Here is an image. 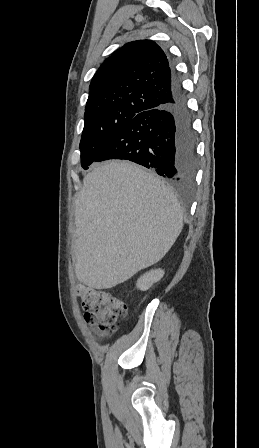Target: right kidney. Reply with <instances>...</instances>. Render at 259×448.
Wrapping results in <instances>:
<instances>
[{"mask_svg":"<svg viewBox=\"0 0 259 448\" xmlns=\"http://www.w3.org/2000/svg\"><path fill=\"white\" fill-rule=\"evenodd\" d=\"M163 276L164 270H151V272H147V274H144V276H141V278L137 280L136 286L138 290L145 292V290H149L155 282H159Z\"/></svg>","mask_w":259,"mask_h":448,"instance_id":"right-kidney-1","label":"right kidney"}]
</instances>
